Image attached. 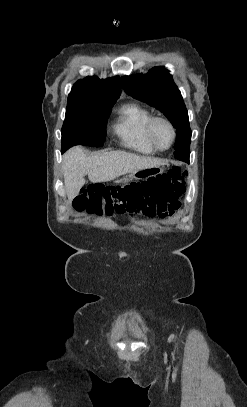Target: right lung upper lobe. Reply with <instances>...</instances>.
Segmentation results:
<instances>
[{
    "mask_svg": "<svg viewBox=\"0 0 247 407\" xmlns=\"http://www.w3.org/2000/svg\"><path fill=\"white\" fill-rule=\"evenodd\" d=\"M121 92L120 78L118 76L108 79H99L97 76H88L78 80L72 87L68 96V105L89 104L98 102L116 101Z\"/></svg>",
    "mask_w": 247,
    "mask_h": 407,
    "instance_id": "1",
    "label": "right lung upper lobe"
}]
</instances>
